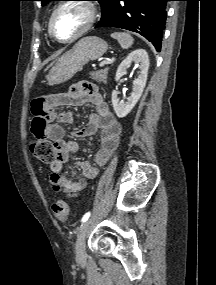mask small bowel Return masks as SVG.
<instances>
[{
    "label": "small bowel",
    "mask_w": 216,
    "mask_h": 285,
    "mask_svg": "<svg viewBox=\"0 0 216 285\" xmlns=\"http://www.w3.org/2000/svg\"><path fill=\"white\" fill-rule=\"evenodd\" d=\"M92 104L96 112L88 115L84 127L74 130L76 137H89L99 134V148L93 161L80 160L77 165L81 176L71 180L64 174L65 168L73 175L76 171L67 167L70 155L78 152L79 144L76 141L65 140V125L73 122L72 112L54 113L51 106H82ZM32 133L33 136H42V141H52L55 146V159L50 163V185L55 191L67 194H77L82 191L90 179L98 174V167L105 165L111 158L119 144L121 125L110 111L103 94L97 86L90 82L74 84L69 91L52 97L49 101L42 99L32 103ZM52 120L55 123L50 124Z\"/></svg>",
    "instance_id": "small-bowel-1"
}]
</instances>
